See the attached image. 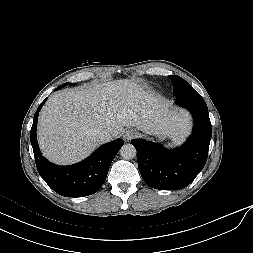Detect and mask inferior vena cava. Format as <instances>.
Returning <instances> with one entry per match:
<instances>
[{"label":"inferior vena cava","mask_w":253,"mask_h":253,"mask_svg":"<svg viewBox=\"0 0 253 253\" xmlns=\"http://www.w3.org/2000/svg\"><path fill=\"white\" fill-rule=\"evenodd\" d=\"M97 136L99 137L102 143L109 142L110 140L113 139V133L108 129L97 132Z\"/></svg>","instance_id":"obj_1"}]
</instances>
